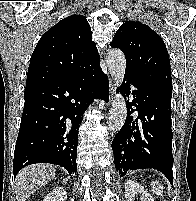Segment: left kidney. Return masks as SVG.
<instances>
[{"label": "left kidney", "instance_id": "obj_1", "mask_svg": "<svg viewBox=\"0 0 196 201\" xmlns=\"http://www.w3.org/2000/svg\"><path fill=\"white\" fill-rule=\"evenodd\" d=\"M140 195L141 201H154L151 195L139 183L128 180L125 183V197L127 201H135V195Z\"/></svg>", "mask_w": 196, "mask_h": 201}]
</instances>
